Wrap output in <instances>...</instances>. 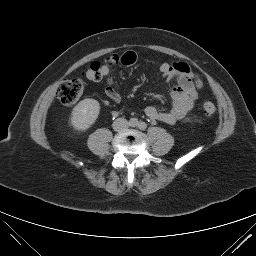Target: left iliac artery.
<instances>
[{"instance_id": "1", "label": "left iliac artery", "mask_w": 256, "mask_h": 256, "mask_svg": "<svg viewBox=\"0 0 256 256\" xmlns=\"http://www.w3.org/2000/svg\"><path fill=\"white\" fill-rule=\"evenodd\" d=\"M138 128L140 129V130H145L146 128H147V125H146V123L145 122H139L138 123Z\"/></svg>"}]
</instances>
